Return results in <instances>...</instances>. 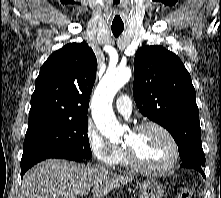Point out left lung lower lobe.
<instances>
[{"mask_svg": "<svg viewBox=\"0 0 221 198\" xmlns=\"http://www.w3.org/2000/svg\"><path fill=\"white\" fill-rule=\"evenodd\" d=\"M180 166L196 169L205 177V174H204L201 166H198V165H195V164H190L188 162H183Z\"/></svg>", "mask_w": 221, "mask_h": 198, "instance_id": "0a47b994", "label": "left lung lower lobe"}]
</instances>
